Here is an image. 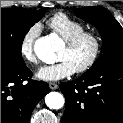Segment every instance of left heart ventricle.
<instances>
[{"instance_id":"b2bd125f","label":"left heart ventricle","mask_w":123,"mask_h":123,"mask_svg":"<svg viewBox=\"0 0 123 123\" xmlns=\"http://www.w3.org/2000/svg\"><path fill=\"white\" fill-rule=\"evenodd\" d=\"M92 50V41L90 39H83L71 49L64 45L58 54V60H68L76 69L87 62Z\"/></svg>"}]
</instances>
